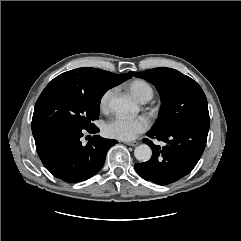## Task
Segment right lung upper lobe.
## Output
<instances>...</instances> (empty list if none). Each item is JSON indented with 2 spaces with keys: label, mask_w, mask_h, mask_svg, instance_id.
<instances>
[{
  "label": "right lung upper lobe",
  "mask_w": 241,
  "mask_h": 241,
  "mask_svg": "<svg viewBox=\"0 0 241 241\" xmlns=\"http://www.w3.org/2000/svg\"><path fill=\"white\" fill-rule=\"evenodd\" d=\"M131 78L130 74H115L96 68L83 67L60 74L48 85H65L84 92L106 91Z\"/></svg>",
  "instance_id": "cb5924a9"
}]
</instances>
